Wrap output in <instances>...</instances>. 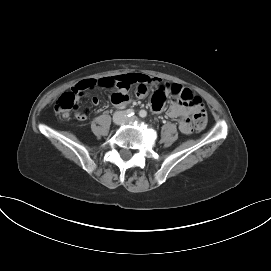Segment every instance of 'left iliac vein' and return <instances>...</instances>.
<instances>
[{
	"label": "left iliac vein",
	"instance_id": "left-iliac-vein-1",
	"mask_svg": "<svg viewBox=\"0 0 271 271\" xmlns=\"http://www.w3.org/2000/svg\"><path fill=\"white\" fill-rule=\"evenodd\" d=\"M137 117H131V118H126L125 119V122H134V121H137Z\"/></svg>",
	"mask_w": 271,
	"mask_h": 271
}]
</instances>
